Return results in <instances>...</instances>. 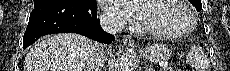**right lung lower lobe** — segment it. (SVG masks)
I'll return each mask as SVG.
<instances>
[{
    "label": "right lung lower lobe",
    "mask_w": 230,
    "mask_h": 71,
    "mask_svg": "<svg viewBox=\"0 0 230 71\" xmlns=\"http://www.w3.org/2000/svg\"><path fill=\"white\" fill-rule=\"evenodd\" d=\"M96 9V3L88 5L77 0H38L23 36V48L43 35L63 32L78 33L110 44L115 37L100 27Z\"/></svg>",
    "instance_id": "1"
}]
</instances>
